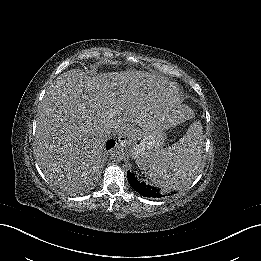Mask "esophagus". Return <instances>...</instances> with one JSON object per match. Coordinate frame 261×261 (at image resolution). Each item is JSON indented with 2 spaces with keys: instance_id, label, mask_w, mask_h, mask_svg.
I'll list each match as a JSON object with an SVG mask.
<instances>
[{
  "instance_id": "obj_1",
  "label": "esophagus",
  "mask_w": 261,
  "mask_h": 261,
  "mask_svg": "<svg viewBox=\"0 0 261 261\" xmlns=\"http://www.w3.org/2000/svg\"><path fill=\"white\" fill-rule=\"evenodd\" d=\"M131 135L132 132L131 130L128 128L125 131H122L120 136H119V141H121L124 144H128L130 142L131 139Z\"/></svg>"
}]
</instances>
